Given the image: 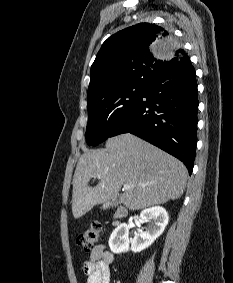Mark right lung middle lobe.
I'll use <instances>...</instances> for the list:
<instances>
[{
    "mask_svg": "<svg viewBox=\"0 0 233 283\" xmlns=\"http://www.w3.org/2000/svg\"><path fill=\"white\" fill-rule=\"evenodd\" d=\"M147 86H128L111 92L88 105L86 140L96 146L111 136L142 97Z\"/></svg>",
    "mask_w": 233,
    "mask_h": 283,
    "instance_id": "obj_1",
    "label": "right lung middle lobe"
}]
</instances>
